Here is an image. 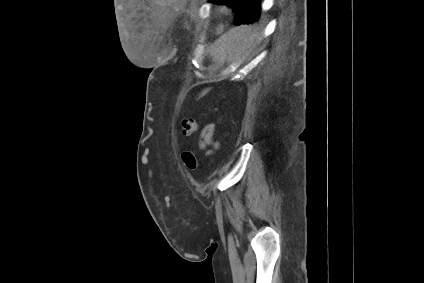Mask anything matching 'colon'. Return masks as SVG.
<instances>
[{
    "instance_id": "5ec220e1",
    "label": "colon",
    "mask_w": 424,
    "mask_h": 283,
    "mask_svg": "<svg viewBox=\"0 0 424 283\" xmlns=\"http://www.w3.org/2000/svg\"><path fill=\"white\" fill-rule=\"evenodd\" d=\"M198 131V123L194 118H184L181 121V133L184 136H191ZM182 161L184 165L191 170L198 168V161L196 156L191 151H184L182 153Z\"/></svg>"
}]
</instances>
